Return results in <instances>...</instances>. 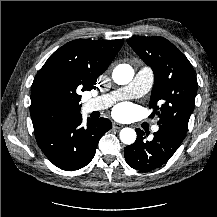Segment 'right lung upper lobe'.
I'll use <instances>...</instances> for the list:
<instances>
[{
    "label": "right lung upper lobe",
    "mask_w": 217,
    "mask_h": 217,
    "mask_svg": "<svg viewBox=\"0 0 217 217\" xmlns=\"http://www.w3.org/2000/svg\"><path fill=\"white\" fill-rule=\"evenodd\" d=\"M124 40H86L68 42L55 51L38 71L32 86L47 76H57L68 86L91 90L122 47Z\"/></svg>",
    "instance_id": "cb5924a9"
}]
</instances>
